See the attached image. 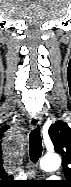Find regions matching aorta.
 I'll return each mask as SVG.
<instances>
[{
    "label": "aorta",
    "mask_w": 71,
    "mask_h": 187,
    "mask_svg": "<svg viewBox=\"0 0 71 187\" xmlns=\"http://www.w3.org/2000/svg\"><path fill=\"white\" fill-rule=\"evenodd\" d=\"M61 165V158L57 154L45 155L40 161V168L44 171H54Z\"/></svg>",
    "instance_id": "obj_1"
}]
</instances>
